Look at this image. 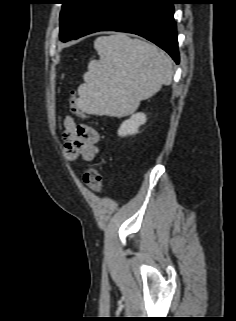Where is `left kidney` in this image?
<instances>
[{"label": "left kidney", "mask_w": 236, "mask_h": 321, "mask_svg": "<svg viewBox=\"0 0 236 321\" xmlns=\"http://www.w3.org/2000/svg\"><path fill=\"white\" fill-rule=\"evenodd\" d=\"M146 115L144 113H135L129 119L125 120L119 130L118 135L125 137L127 135H134L138 133V129L141 125L146 123Z\"/></svg>", "instance_id": "left-kidney-1"}]
</instances>
